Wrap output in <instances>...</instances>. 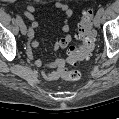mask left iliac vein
<instances>
[{"instance_id":"1","label":"left iliac vein","mask_w":119,"mask_h":119,"mask_svg":"<svg viewBox=\"0 0 119 119\" xmlns=\"http://www.w3.org/2000/svg\"><path fill=\"white\" fill-rule=\"evenodd\" d=\"M93 22H94L95 27H99L100 22H101V15L99 13L95 15Z\"/></svg>"}]
</instances>
